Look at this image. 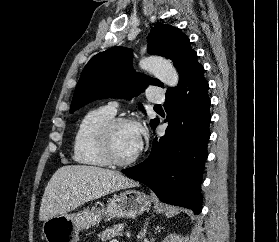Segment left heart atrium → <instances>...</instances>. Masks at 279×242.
Masks as SVG:
<instances>
[{"label":"left heart atrium","instance_id":"obj_1","mask_svg":"<svg viewBox=\"0 0 279 242\" xmlns=\"http://www.w3.org/2000/svg\"><path fill=\"white\" fill-rule=\"evenodd\" d=\"M138 129H139V137H138V149H139L142 145V134H143V132L140 128H138Z\"/></svg>","mask_w":279,"mask_h":242}]
</instances>
